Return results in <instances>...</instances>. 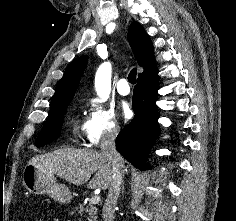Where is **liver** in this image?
<instances>
[{
  "mask_svg": "<svg viewBox=\"0 0 236 221\" xmlns=\"http://www.w3.org/2000/svg\"><path fill=\"white\" fill-rule=\"evenodd\" d=\"M29 164L75 185L89 181L87 187L90 189L106 190L112 177V168L102 153L88 149L60 148L34 156Z\"/></svg>",
  "mask_w": 236,
  "mask_h": 221,
  "instance_id": "obj_1",
  "label": "liver"
}]
</instances>
